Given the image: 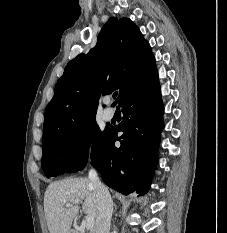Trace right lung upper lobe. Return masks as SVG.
Wrapping results in <instances>:
<instances>
[{"label": "right lung upper lobe", "mask_w": 227, "mask_h": 233, "mask_svg": "<svg viewBox=\"0 0 227 233\" xmlns=\"http://www.w3.org/2000/svg\"><path fill=\"white\" fill-rule=\"evenodd\" d=\"M158 81L155 58L139 28L128 18H110L96 46L65 67L46 107L43 145L95 120L100 95L119 89L122 105Z\"/></svg>", "instance_id": "cb5924a9"}]
</instances>
